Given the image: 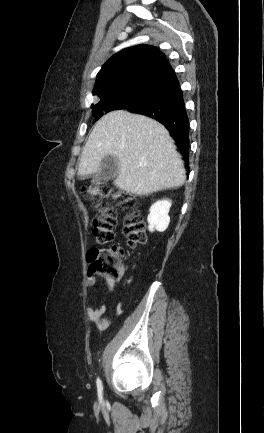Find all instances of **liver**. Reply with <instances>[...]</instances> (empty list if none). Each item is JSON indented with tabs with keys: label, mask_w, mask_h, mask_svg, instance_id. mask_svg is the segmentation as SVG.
Listing matches in <instances>:
<instances>
[{
	"label": "liver",
	"mask_w": 264,
	"mask_h": 433,
	"mask_svg": "<svg viewBox=\"0 0 264 433\" xmlns=\"http://www.w3.org/2000/svg\"><path fill=\"white\" fill-rule=\"evenodd\" d=\"M115 156L114 185L137 196L180 187L186 180L181 156L166 128L142 115L116 110L94 126L83 147L78 173L96 174L105 156Z\"/></svg>",
	"instance_id": "1"
}]
</instances>
